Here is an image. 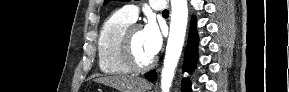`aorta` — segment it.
Here are the masks:
<instances>
[{"mask_svg": "<svg viewBox=\"0 0 289 92\" xmlns=\"http://www.w3.org/2000/svg\"><path fill=\"white\" fill-rule=\"evenodd\" d=\"M170 32L161 73V90L169 92L184 45L188 21L187 0H171Z\"/></svg>", "mask_w": 289, "mask_h": 92, "instance_id": "aorta-1", "label": "aorta"}]
</instances>
